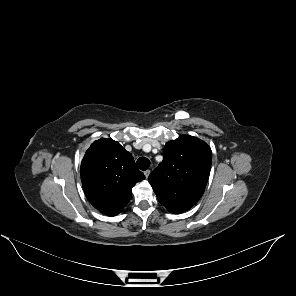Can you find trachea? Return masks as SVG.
I'll return each instance as SVG.
<instances>
[{"mask_svg":"<svg viewBox=\"0 0 296 296\" xmlns=\"http://www.w3.org/2000/svg\"><path fill=\"white\" fill-rule=\"evenodd\" d=\"M137 166L139 167V169L145 171L149 168L150 166V161L148 158L146 157H140L138 160H137Z\"/></svg>","mask_w":296,"mask_h":296,"instance_id":"3493384b","label":"trachea"}]
</instances>
